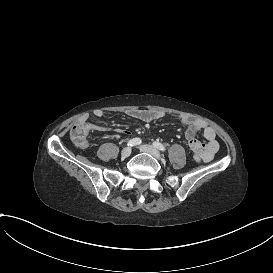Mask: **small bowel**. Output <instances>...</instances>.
Segmentation results:
<instances>
[{
  "label": "small bowel",
  "mask_w": 273,
  "mask_h": 273,
  "mask_svg": "<svg viewBox=\"0 0 273 273\" xmlns=\"http://www.w3.org/2000/svg\"><path fill=\"white\" fill-rule=\"evenodd\" d=\"M104 114V111L101 109H96L93 112V116L96 118H101L104 116ZM82 116L88 115L84 114ZM128 116L141 121H154L164 118L166 114L158 110L135 109L129 111ZM179 119L186 129V140L189 137H198L197 135L199 133L202 135L203 139L208 143V150L204 154L197 155L205 162L212 161L219 149V143L216 138L215 130L208 126L203 120L198 119L192 115L183 114L179 116ZM103 129L104 127L102 125L92 123V127L89 129V133L93 131H102ZM120 132L125 134L129 133L126 130H120Z\"/></svg>",
  "instance_id": "1"
}]
</instances>
